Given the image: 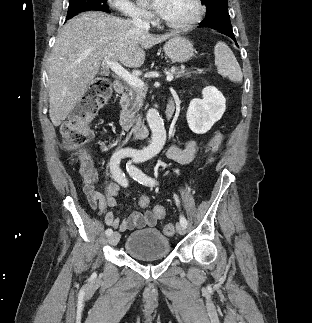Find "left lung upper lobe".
Wrapping results in <instances>:
<instances>
[{
    "label": "left lung upper lobe",
    "mask_w": 312,
    "mask_h": 323,
    "mask_svg": "<svg viewBox=\"0 0 312 323\" xmlns=\"http://www.w3.org/2000/svg\"><path fill=\"white\" fill-rule=\"evenodd\" d=\"M202 4L207 7V13L205 19L202 21V25L216 29L222 25L230 26V16L228 13L227 0H201Z\"/></svg>",
    "instance_id": "1"
}]
</instances>
